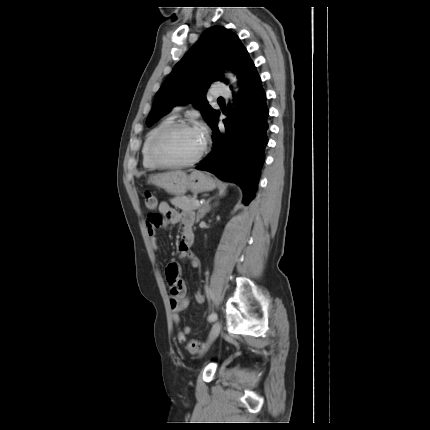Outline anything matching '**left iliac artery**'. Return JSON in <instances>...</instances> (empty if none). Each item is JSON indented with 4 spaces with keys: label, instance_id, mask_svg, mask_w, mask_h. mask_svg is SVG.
I'll list each match as a JSON object with an SVG mask.
<instances>
[{
    "label": "left iliac artery",
    "instance_id": "1",
    "mask_svg": "<svg viewBox=\"0 0 430 430\" xmlns=\"http://www.w3.org/2000/svg\"><path fill=\"white\" fill-rule=\"evenodd\" d=\"M205 291H206L207 295L209 296V295H210V291H209L208 287H205ZM216 319H217V314H216V313H214V312H212V313L208 316V321H210V322H213V321H215Z\"/></svg>",
    "mask_w": 430,
    "mask_h": 430
}]
</instances>
